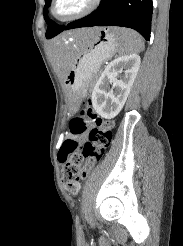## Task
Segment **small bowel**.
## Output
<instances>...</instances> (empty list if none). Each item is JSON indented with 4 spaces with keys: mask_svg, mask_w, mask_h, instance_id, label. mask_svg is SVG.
Segmentation results:
<instances>
[{
    "mask_svg": "<svg viewBox=\"0 0 183 246\" xmlns=\"http://www.w3.org/2000/svg\"><path fill=\"white\" fill-rule=\"evenodd\" d=\"M71 133L72 134L69 136V138L74 139V140L83 139V135H81V134H74L72 131H71Z\"/></svg>",
    "mask_w": 183,
    "mask_h": 246,
    "instance_id": "small-bowel-1",
    "label": "small bowel"
}]
</instances>
